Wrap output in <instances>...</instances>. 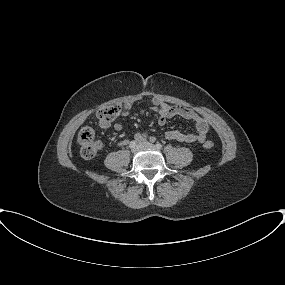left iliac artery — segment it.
<instances>
[{
	"instance_id": "44dca946",
	"label": "left iliac artery",
	"mask_w": 285,
	"mask_h": 285,
	"mask_svg": "<svg viewBox=\"0 0 285 285\" xmlns=\"http://www.w3.org/2000/svg\"><path fill=\"white\" fill-rule=\"evenodd\" d=\"M156 148H157V149H161V148H162V145H161L160 143H157V144H156Z\"/></svg>"
}]
</instances>
